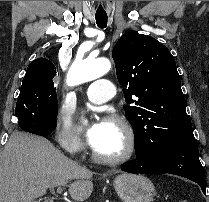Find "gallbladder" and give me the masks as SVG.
Masks as SVG:
<instances>
[{
	"mask_svg": "<svg viewBox=\"0 0 209 202\" xmlns=\"http://www.w3.org/2000/svg\"><path fill=\"white\" fill-rule=\"evenodd\" d=\"M33 202H40V201H33ZM43 202H53V201H52V199L47 198V199H45Z\"/></svg>",
	"mask_w": 209,
	"mask_h": 202,
	"instance_id": "obj_1",
	"label": "gallbladder"
}]
</instances>
